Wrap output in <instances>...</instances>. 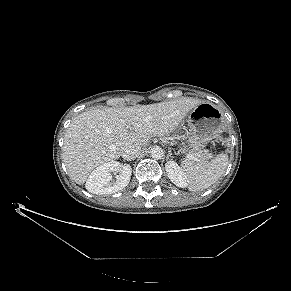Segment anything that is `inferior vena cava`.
<instances>
[{
    "mask_svg": "<svg viewBox=\"0 0 291 291\" xmlns=\"http://www.w3.org/2000/svg\"><path fill=\"white\" fill-rule=\"evenodd\" d=\"M141 147L134 144H127L122 147L121 155L125 160H134L139 156Z\"/></svg>",
    "mask_w": 291,
    "mask_h": 291,
    "instance_id": "1",
    "label": "inferior vena cava"
}]
</instances>
